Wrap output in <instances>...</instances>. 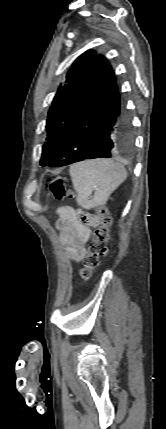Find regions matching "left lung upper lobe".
Returning <instances> with one entry per match:
<instances>
[{
	"mask_svg": "<svg viewBox=\"0 0 166 429\" xmlns=\"http://www.w3.org/2000/svg\"><path fill=\"white\" fill-rule=\"evenodd\" d=\"M96 51L81 54L66 75L65 85H60L48 112L46 122L47 142L42 147L40 165L44 166L54 153L68 124L77 100L92 73Z\"/></svg>",
	"mask_w": 166,
	"mask_h": 429,
	"instance_id": "5c2ea615",
	"label": "left lung upper lobe"
}]
</instances>
